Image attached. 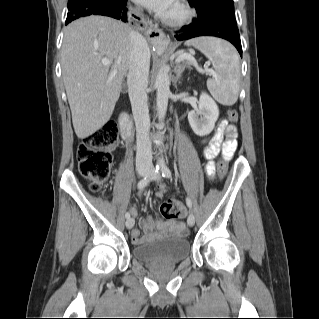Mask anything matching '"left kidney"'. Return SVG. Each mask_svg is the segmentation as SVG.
<instances>
[{"mask_svg":"<svg viewBox=\"0 0 319 319\" xmlns=\"http://www.w3.org/2000/svg\"><path fill=\"white\" fill-rule=\"evenodd\" d=\"M201 116V117H199ZM219 117V109L215 101L206 93L199 98L198 109L188 113V121L194 133L205 136L212 132Z\"/></svg>","mask_w":319,"mask_h":319,"instance_id":"5707ae66","label":"left kidney"}]
</instances>
